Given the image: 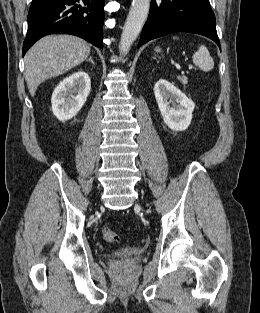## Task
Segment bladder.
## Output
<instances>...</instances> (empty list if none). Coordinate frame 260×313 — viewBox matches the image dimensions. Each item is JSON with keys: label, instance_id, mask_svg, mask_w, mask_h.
<instances>
[{"label": "bladder", "instance_id": "bladder-1", "mask_svg": "<svg viewBox=\"0 0 260 313\" xmlns=\"http://www.w3.org/2000/svg\"><path fill=\"white\" fill-rule=\"evenodd\" d=\"M143 251L142 246L140 245H131L127 247H123L114 252V257L116 258H127L133 257L141 254Z\"/></svg>", "mask_w": 260, "mask_h": 313}]
</instances>
